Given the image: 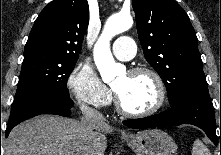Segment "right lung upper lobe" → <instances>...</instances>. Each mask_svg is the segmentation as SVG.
<instances>
[{"mask_svg":"<svg viewBox=\"0 0 221 155\" xmlns=\"http://www.w3.org/2000/svg\"><path fill=\"white\" fill-rule=\"evenodd\" d=\"M89 23L87 0H54L36 19L24 57L51 56L77 60Z\"/></svg>","mask_w":221,"mask_h":155,"instance_id":"right-lung-upper-lobe-1","label":"right lung upper lobe"}]
</instances>
